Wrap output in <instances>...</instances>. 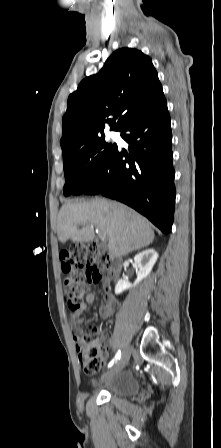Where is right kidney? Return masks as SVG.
<instances>
[{
  "mask_svg": "<svg viewBox=\"0 0 221 448\" xmlns=\"http://www.w3.org/2000/svg\"><path fill=\"white\" fill-rule=\"evenodd\" d=\"M157 258L158 253L154 249H147L138 253L134 257V262L138 267L137 279L135 280L134 284H131L124 279H120L116 284L115 294H120L123 291L131 287H135L137 284H139V282H141L150 274L155 262L157 261Z\"/></svg>",
  "mask_w": 221,
  "mask_h": 448,
  "instance_id": "right-kidney-1",
  "label": "right kidney"
}]
</instances>
